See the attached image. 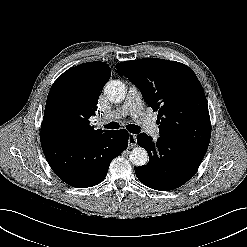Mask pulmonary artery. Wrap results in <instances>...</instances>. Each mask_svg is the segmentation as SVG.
I'll return each instance as SVG.
<instances>
[{"instance_id":"1","label":"pulmonary artery","mask_w":247,"mask_h":247,"mask_svg":"<svg viewBox=\"0 0 247 247\" xmlns=\"http://www.w3.org/2000/svg\"><path fill=\"white\" fill-rule=\"evenodd\" d=\"M127 115H131L148 134L155 138L159 137V129L153 119L145 112L142 96L135 87H130L122 106L108 116L102 118L100 123H105L107 118L118 119Z\"/></svg>"}]
</instances>
